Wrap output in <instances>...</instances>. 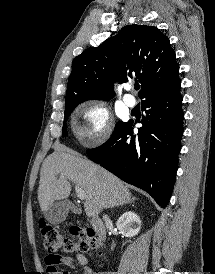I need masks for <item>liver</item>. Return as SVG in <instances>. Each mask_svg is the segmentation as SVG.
I'll list each match as a JSON object with an SVG mask.
<instances>
[{
    "label": "liver",
    "mask_w": 215,
    "mask_h": 274,
    "mask_svg": "<svg viewBox=\"0 0 215 274\" xmlns=\"http://www.w3.org/2000/svg\"><path fill=\"white\" fill-rule=\"evenodd\" d=\"M70 181L85 191L84 208L88 217L132 200L129 189L116 176L72 150L57 148L43 161L40 170L38 200L42 211L55 200L69 197Z\"/></svg>",
    "instance_id": "liver-1"
}]
</instances>
